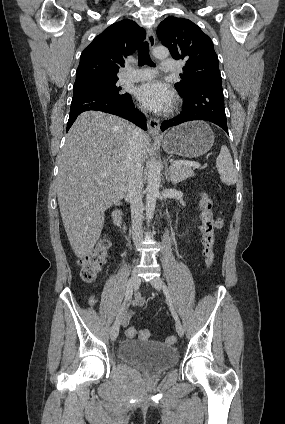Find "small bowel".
Here are the masks:
<instances>
[{
    "mask_svg": "<svg viewBox=\"0 0 285 424\" xmlns=\"http://www.w3.org/2000/svg\"><path fill=\"white\" fill-rule=\"evenodd\" d=\"M97 303V299L95 297H91L90 298V304L91 305H95ZM131 305L133 307H141L144 305V299L142 297H140L139 295H136L135 298L133 299ZM124 315V317L121 319V323L123 326H127L130 320V315H131V311L130 310H126L122 316ZM121 316V317H122Z\"/></svg>",
    "mask_w": 285,
    "mask_h": 424,
    "instance_id": "1",
    "label": "small bowel"
}]
</instances>
